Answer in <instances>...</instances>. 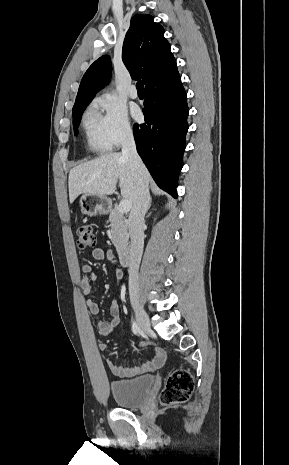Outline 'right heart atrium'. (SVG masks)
Listing matches in <instances>:
<instances>
[{
	"instance_id": "1",
	"label": "right heart atrium",
	"mask_w": 289,
	"mask_h": 465,
	"mask_svg": "<svg viewBox=\"0 0 289 465\" xmlns=\"http://www.w3.org/2000/svg\"><path fill=\"white\" fill-rule=\"evenodd\" d=\"M95 103L103 112L104 132L112 147H118L132 138L130 119L121 103L108 94L96 98Z\"/></svg>"
}]
</instances>
